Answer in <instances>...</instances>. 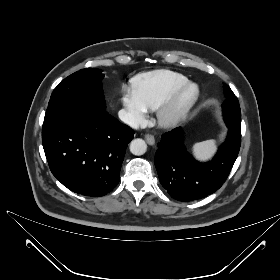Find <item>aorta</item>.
Here are the masks:
<instances>
[{
    "mask_svg": "<svg viewBox=\"0 0 280 280\" xmlns=\"http://www.w3.org/2000/svg\"><path fill=\"white\" fill-rule=\"evenodd\" d=\"M147 150V144L143 139L137 138L131 141L130 151L136 156L143 155Z\"/></svg>",
    "mask_w": 280,
    "mask_h": 280,
    "instance_id": "obj_1",
    "label": "aorta"
}]
</instances>
